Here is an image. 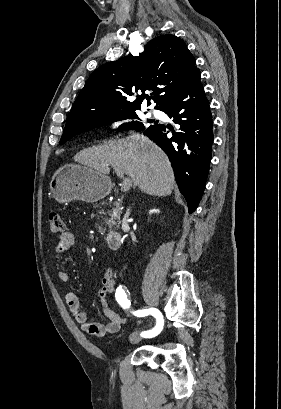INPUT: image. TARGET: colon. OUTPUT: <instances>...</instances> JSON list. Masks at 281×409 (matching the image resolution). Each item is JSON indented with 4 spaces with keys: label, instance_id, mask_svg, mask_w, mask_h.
<instances>
[{
    "label": "colon",
    "instance_id": "1",
    "mask_svg": "<svg viewBox=\"0 0 281 409\" xmlns=\"http://www.w3.org/2000/svg\"><path fill=\"white\" fill-rule=\"evenodd\" d=\"M51 230L57 234H64L67 230V224L59 211L50 210L48 213Z\"/></svg>",
    "mask_w": 281,
    "mask_h": 409
}]
</instances>
